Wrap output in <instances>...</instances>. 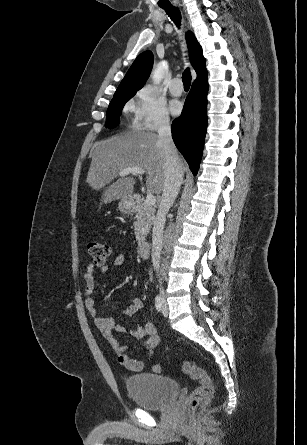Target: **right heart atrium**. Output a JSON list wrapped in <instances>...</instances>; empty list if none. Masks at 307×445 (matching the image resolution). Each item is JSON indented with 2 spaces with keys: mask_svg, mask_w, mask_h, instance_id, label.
Wrapping results in <instances>:
<instances>
[{
  "mask_svg": "<svg viewBox=\"0 0 307 445\" xmlns=\"http://www.w3.org/2000/svg\"><path fill=\"white\" fill-rule=\"evenodd\" d=\"M135 125L145 131H161L170 120L165 102L150 87H144L136 95Z\"/></svg>",
  "mask_w": 307,
  "mask_h": 445,
  "instance_id": "1",
  "label": "right heart atrium"
}]
</instances>
